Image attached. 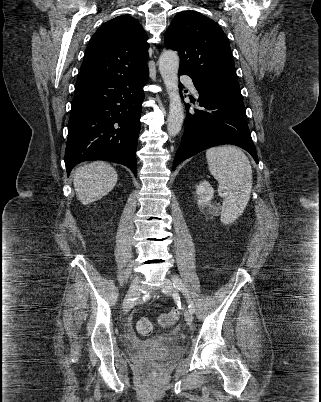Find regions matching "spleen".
Here are the masks:
<instances>
[{"label":"spleen","mask_w":321,"mask_h":402,"mask_svg":"<svg viewBox=\"0 0 321 402\" xmlns=\"http://www.w3.org/2000/svg\"><path fill=\"white\" fill-rule=\"evenodd\" d=\"M208 168L218 181L223 198L221 220L234 221L244 211L251 195L252 167L244 152L234 146L213 147L206 151Z\"/></svg>","instance_id":"obj_1"}]
</instances>
